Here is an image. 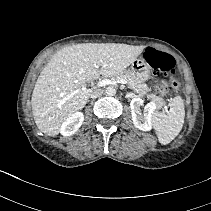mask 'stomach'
Segmentation results:
<instances>
[{
    "instance_id": "0dacf381",
    "label": "stomach",
    "mask_w": 211,
    "mask_h": 211,
    "mask_svg": "<svg viewBox=\"0 0 211 211\" xmlns=\"http://www.w3.org/2000/svg\"><path fill=\"white\" fill-rule=\"evenodd\" d=\"M130 71L142 82L147 81L150 78V66L143 56L136 59L131 64Z\"/></svg>"
}]
</instances>
